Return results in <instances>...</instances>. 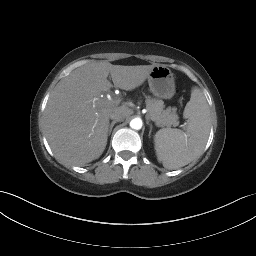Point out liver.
Instances as JSON below:
<instances>
[{
  "label": "liver",
  "mask_w": 256,
  "mask_h": 256,
  "mask_svg": "<svg viewBox=\"0 0 256 256\" xmlns=\"http://www.w3.org/2000/svg\"><path fill=\"white\" fill-rule=\"evenodd\" d=\"M156 65L91 62L61 79L44 112L45 135L56 159L81 166L99 158L107 145L110 114L118 110L126 118L132 113L126 106L114 107L101 98L112 87L108 75L114 87L133 90L144 83Z\"/></svg>",
  "instance_id": "liver-1"
}]
</instances>
